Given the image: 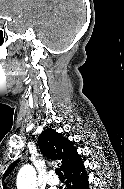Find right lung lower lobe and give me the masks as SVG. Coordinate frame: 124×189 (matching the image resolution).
<instances>
[{
  "instance_id": "obj_1",
  "label": "right lung lower lobe",
  "mask_w": 124,
  "mask_h": 189,
  "mask_svg": "<svg viewBox=\"0 0 124 189\" xmlns=\"http://www.w3.org/2000/svg\"><path fill=\"white\" fill-rule=\"evenodd\" d=\"M64 174L66 177L64 189H89L88 177L82 160Z\"/></svg>"
}]
</instances>
